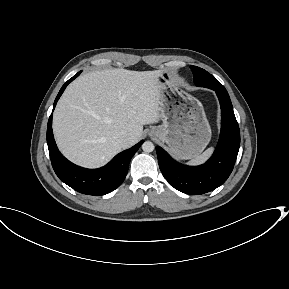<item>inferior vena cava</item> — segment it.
I'll list each match as a JSON object with an SVG mask.
<instances>
[{"instance_id":"inferior-vena-cava-1","label":"inferior vena cava","mask_w":289,"mask_h":289,"mask_svg":"<svg viewBox=\"0 0 289 289\" xmlns=\"http://www.w3.org/2000/svg\"><path fill=\"white\" fill-rule=\"evenodd\" d=\"M117 140L120 144H123L126 141V136L125 135H119L117 137Z\"/></svg>"}]
</instances>
